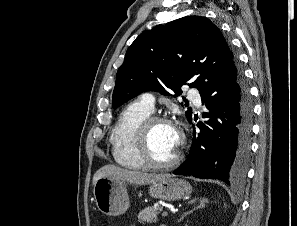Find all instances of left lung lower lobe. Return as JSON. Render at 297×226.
Wrapping results in <instances>:
<instances>
[{
    "label": "left lung lower lobe",
    "mask_w": 297,
    "mask_h": 226,
    "mask_svg": "<svg viewBox=\"0 0 297 226\" xmlns=\"http://www.w3.org/2000/svg\"><path fill=\"white\" fill-rule=\"evenodd\" d=\"M208 111L193 132L187 160L173 174L219 179L228 185L244 182L250 157L253 106L242 72L235 82L206 85L199 91ZM192 122V118L189 120Z\"/></svg>",
    "instance_id": "1"
}]
</instances>
